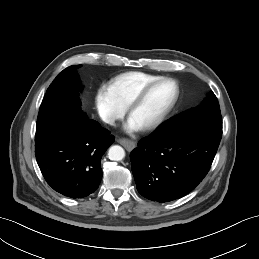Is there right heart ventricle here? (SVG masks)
Listing matches in <instances>:
<instances>
[{"instance_id":"1","label":"right heart ventricle","mask_w":259,"mask_h":259,"mask_svg":"<svg viewBox=\"0 0 259 259\" xmlns=\"http://www.w3.org/2000/svg\"><path fill=\"white\" fill-rule=\"evenodd\" d=\"M161 76L131 71L120 74L112 78L105 88L114 101L122 108L126 109L131 98L146 84L160 78Z\"/></svg>"}]
</instances>
